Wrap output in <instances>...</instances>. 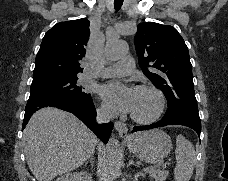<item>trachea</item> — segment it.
Masks as SVG:
<instances>
[{"instance_id": "1", "label": "trachea", "mask_w": 228, "mask_h": 181, "mask_svg": "<svg viewBox=\"0 0 228 181\" xmlns=\"http://www.w3.org/2000/svg\"><path fill=\"white\" fill-rule=\"evenodd\" d=\"M124 0H114L115 10L118 11L121 9Z\"/></svg>"}]
</instances>
